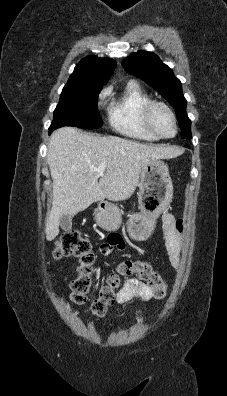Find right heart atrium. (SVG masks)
<instances>
[{"mask_svg": "<svg viewBox=\"0 0 227 396\" xmlns=\"http://www.w3.org/2000/svg\"><path fill=\"white\" fill-rule=\"evenodd\" d=\"M105 95H106V93H103V94L101 95V97L103 98V97H105Z\"/></svg>", "mask_w": 227, "mask_h": 396, "instance_id": "1", "label": "right heart atrium"}]
</instances>
